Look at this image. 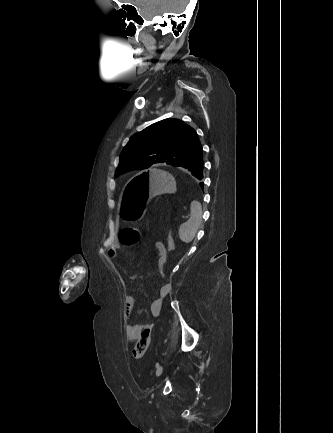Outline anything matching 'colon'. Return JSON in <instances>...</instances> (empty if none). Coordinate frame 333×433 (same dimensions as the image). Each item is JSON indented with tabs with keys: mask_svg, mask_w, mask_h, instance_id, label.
Returning <instances> with one entry per match:
<instances>
[{
	"mask_svg": "<svg viewBox=\"0 0 333 433\" xmlns=\"http://www.w3.org/2000/svg\"><path fill=\"white\" fill-rule=\"evenodd\" d=\"M139 240H140V233L134 227L127 226L122 228L119 232V241L122 246L125 247L134 246L139 242ZM169 243L170 244L168 245V248L174 249V240L172 236L169 237ZM157 325H158V320L152 319L149 328H146L141 333V335L137 339L136 345L132 350V356L134 359L138 360L144 356L151 341L152 330H154L155 326Z\"/></svg>",
	"mask_w": 333,
	"mask_h": 433,
	"instance_id": "5ec220e1",
	"label": "colon"
}]
</instances>
